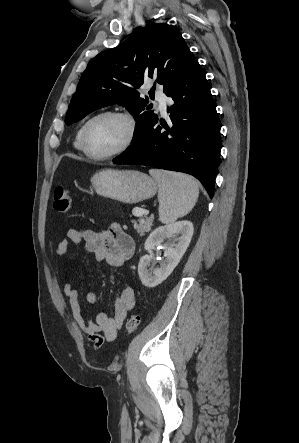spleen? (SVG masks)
I'll return each mask as SVG.
<instances>
[{
	"instance_id": "spleen-1",
	"label": "spleen",
	"mask_w": 299,
	"mask_h": 443,
	"mask_svg": "<svg viewBox=\"0 0 299 443\" xmlns=\"http://www.w3.org/2000/svg\"><path fill=\"white\" fill-rule=\"evenodd\" d=\"M149 173L159 186V219L162 223H173L192 210L199 195L198 183L194 178L156 169Z\"/></svg>"
}]
</instances>
